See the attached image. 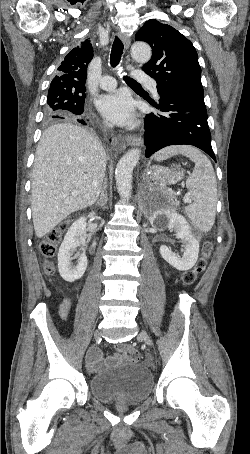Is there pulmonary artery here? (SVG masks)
Instances as JSON below:
<instances>
[{"label":"pulmonary artery","instance_id":"obj_1","mask_svg":"<svg viewBox=\"0 0 250 454\" xmlns=\"http://www.w3.org/2000/svg\"><path fill=\"white\" fill-rule=\"evenodd\" d=\"M133 78L138 82L150 87L153 94L158 97L156 81L144 72H134ZM100 88L106 91L114 90L117 87V81L112 76H103L99 82Z\"/></svg>","mask_w":250,"mask_h":454}]
</instances>
